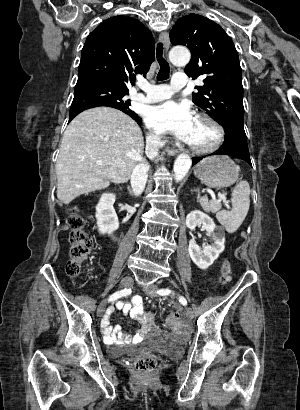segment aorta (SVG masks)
Masks as SVG:
<instances>
[{"label": "aorta", "instance_id": "1", "mask_svg": "<svg viewBox=\"0 0 300 410\" xmlns=\"http://www.w3.org/2000/svg\"><path fill=\"white\" fill-rule=\"evenodd\" d=\"M190 52L185 47H174L169 53L171 62L175 65H186L190 61ZM192 165L191 158L186 154H180L174 162L173 171L176 182L181 181L188 173Z\"/></svg>", "mask_w": 300, "mask_h": 410}]
</instances>
